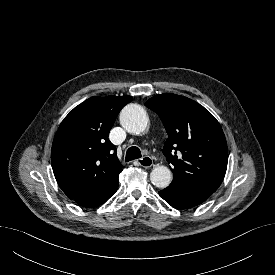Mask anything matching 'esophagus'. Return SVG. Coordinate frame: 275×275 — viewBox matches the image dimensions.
Masks as SVG:
<instances>
[{
	"instance_id": "esophagus-1",
	"label": "esophagus",
	"mask_w": 275,
	"mask_h": 275,
	"mask_svg": "<svg viewBox=\"0 0 275 275\" xmlns=\"http://www.w3.org/2000/svg\"><path fill=\"white\" fill-rule=\"evenodd\" d=\"M138 164L144 168H150L153 165V160L149 156H145L137 160Z\"/></svg>"
}]
</instances>
